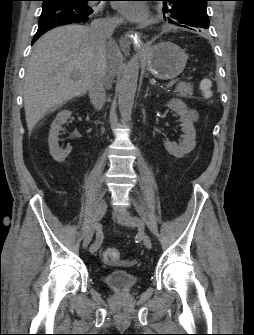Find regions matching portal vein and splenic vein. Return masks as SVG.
<instances>
[{"instance_id": "portal-vein-and-splenic-vein-1", "label": "portal vein and splenic vein", "mask_w": 254, "mask_h": 335, "mask_svg": "<svg viewBox=\"0 0 254 335\" xmlns=\"http://www.w3.org/2000/svg\"><path fill=\"white\" fill-rule=\"evenodd\" d=\"M177 80H171L167 83L166 89L173 87L176 84Z\"/></svg>"}]
</instances>
